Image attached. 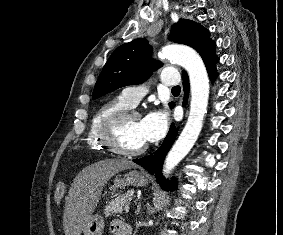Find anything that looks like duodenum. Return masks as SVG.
Segmentation results:
<instances>
[{
    "instance_id": "duodenum-1",
    "label": "duodenum",
    "mask_w": 283,
    "mask_h": 235,
    "mask_svg": "<svg viewBox=\"0 0 283 235\" xmlns=\"http://www.w3.org/2000/svg\"><path fill=\"white\" fill-rule=\"evenodd\" d=\"M117 235H131L130 227L123 223H119L117 225Z\"/></svg>"
}]
</instances>
